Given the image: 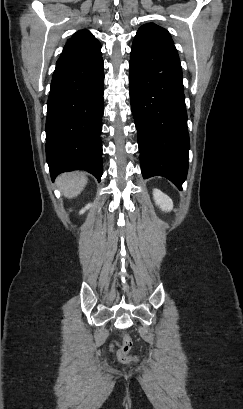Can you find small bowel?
<instances>
[{"label":"small bowel","mask_w":243,"mask_h":409,"mask_svg":"<svg viewBox=\"0 0 243 409\" xmlns=\"http://www.w3.org/2000/svg\"><path fill=\"white\" fill-rule=\"evenodd\" d=\"M115 345V344H114ZM113 354H117V351L115 349L112 350Z\"/></svg>","instance_id":"small-bowel-1"}]
</instances>
